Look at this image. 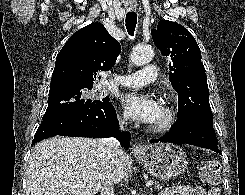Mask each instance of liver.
<instances>
[{"instance_id": "1", "label": "liver", "mask_w": 245, "mask_h": 195, "mask_svg": "<svg viewBox=\"0 0 245 195\" xmlns=\"http://www.w3.org/2000/svg\"><path fill=\"white\" fill-rule=\"evenodd\" d=\"M105 159L102 139L55 136L39 142L28 163L27 195H96L107 175ZM109 165V177L117 184L125 177L121 149Z\"/></svg>"}]
</instances>
